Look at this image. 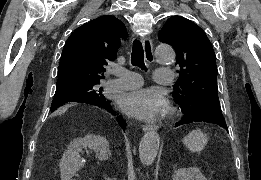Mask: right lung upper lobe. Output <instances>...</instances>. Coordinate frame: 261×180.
I'll return each instance as SVG.
<instances>
[{
  "label": "right lung upper lobe",
  "instance_id": "1",
  "mask_svg": "<svg viewBox=\"0 0 261 180\" xmlns=\"http://www.w3.org/2000/svg\"><path fill=\"white\" fill-rule=\"evenodd\" d=\"M126 36L124 24L109 15L78 27L63 48L57 83L102 79L104 65L116 58L120 38Z\"/></svg>",
  "mask_w": 261,
  "mask_h": 180
}]
</instances>
